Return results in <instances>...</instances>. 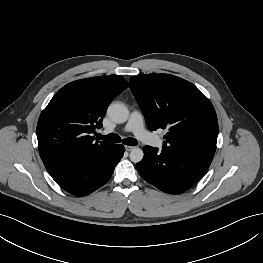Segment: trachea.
Returning a JSON list of instances; mask_svg holds the SVG:
<instances>
[{
	"label": "trachea",
	"instance_id": "trachea-1",
	"mask_svg": "<svg viewBox=\"0 0 263 263\" xmlns=\"http://www.w3.org/2000/svg\"><path fill=\"white\" fill-rule=\"evenodd\" d=\"M97 138L99 140H104V141L114 142V143H120L122 141L123 144L128 145V146H135L138 143L135 138H130V137L126 138L124 140H121L120 136L115 134V133H110L106 136H103L101 134H97Z\"/></svg>",
	"mask_w": 263,
	"mask_h": 263
}]
</instances>
